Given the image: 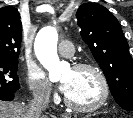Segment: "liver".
<instances>
[{
  "instance_id": "6515ba94",
  "label": "liver",
  "mask_w": 133,
  "mask_h": 118,
  "mask_svg": "<svg viewBox=\"0 0 133 118\" xmlns=\"http://www.w3.org/2000/svg\"><path fill=\"white\" fill-rule=\"evenodd\" d=\"M27 110L23 103L0 101V118H27Z\"/></svg>"
}]
</instances>
